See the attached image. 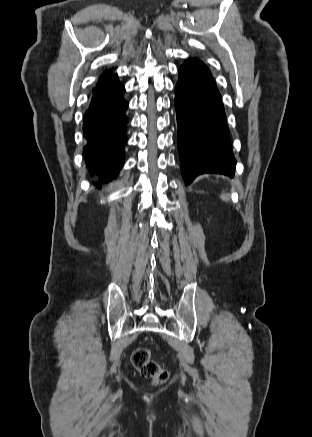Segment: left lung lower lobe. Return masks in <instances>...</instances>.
<instances>
[{
    "label": "left lung lower lobe",
    "mask_w": 312,
    "mask_h": 437,
    "mask_svg": "<svg viewBox=\"0 0 312 437\" xmlns=\"http://www.w3.org/2000/svg\"><path fill=\"white\" fill-rule=\"evenodd\" d=\"M178 151L186 185L203 173L234 175L236 161L221 95L208 68L183 64L175 87Z\"/></svg>",
    "instance_id": "1"
}]
</instances>
